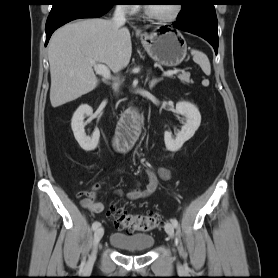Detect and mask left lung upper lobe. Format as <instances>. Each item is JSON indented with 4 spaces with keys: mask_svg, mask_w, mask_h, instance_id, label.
Masks as SVG:
<instances>
[{
    "mask_svg": "<svg viewBox=\"0 0 278 278\" xmlns=\"http://www.w3.org/2000/svg\"><path fill=\"white\" fill-rule=\"evenodd\" d=\"M182 5V10L180 15H186L187 13L193 11L197 7H207L211 11L215 12L214 0H180Z\"/></svg>",
    "mask_w": 278,
    "mask_h": 278,
    "instance_id": "left-lung-upper-lobe-1",
    "label": "left lung upper lobe"
}]
</instances>
